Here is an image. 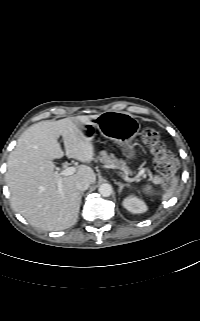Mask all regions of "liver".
<instances>
[{
  "mask_svg": "<svg viewBox=\"0 0 200 321\" xmlns=\"http://www.w3.org/2000/svg\"><path fill=\"white\" fill-rule=\"evenodd\" d=\"M97 116L41 121L19 137L8 157L5 178L13 209L32 226L57 231L76 223L81 204L76 182L85 178L93 184L96 175L91 167L80 165L75 174L60 177L53 160L64 156L58 143L62 136L67 157L90 163L95 148L85 135L83 124Z\"/></svg>",
  "mask_w": 200,
  "mask_h": 321,
  "instance_id": "6515ba94",
  "label": "liver"
}]
</instances>
